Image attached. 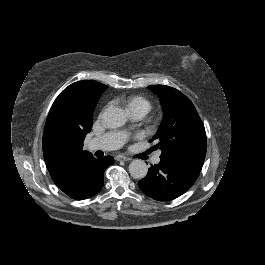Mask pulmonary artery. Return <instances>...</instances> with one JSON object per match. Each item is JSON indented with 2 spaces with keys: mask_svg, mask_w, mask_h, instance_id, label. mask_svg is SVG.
Instances as JSON below:
<instances>
[{
  "mask_svg": "<svg viewBox=\"0 0 265 265\" xmlns=\"http://www.w3.org/2000/svg\"><path fill=\"white\" fill-rule=\"evenodd\" d=\"M132 116L135 119H141L143 118L144 114L143 113H134ZM97 142V145H94V149H101L104 151H112L119 149L125 142V136L121 132L117 131H108L104 135H101L98 137V139L94 140ZM160 162V153L157 154L153 158V163L157 164Z\"/></svg>",
  "mask_w": 265,
  "mask_h": 265,
  "instance_id": "obj_1",
  "label": "pulmonary artery"
}]
</instances>
